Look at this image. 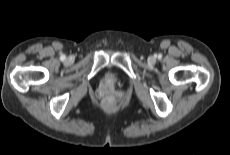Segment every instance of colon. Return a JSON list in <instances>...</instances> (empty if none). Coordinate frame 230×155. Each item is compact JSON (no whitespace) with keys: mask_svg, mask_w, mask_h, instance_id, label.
<instances>
[{"mask_svg":"<svg viewBox=\"0 0 230 155\" xmlns=\"http://www.w3.org/2000/svg\"><path fill=\"white\" fill-rule=\"evenodd\" d=\"M111 103V101L110 100H108V104H110Z\"/></svg>","mask_w":230,"mask_h":155,"instance_id":"1","label":"colon"}]
</instances>
